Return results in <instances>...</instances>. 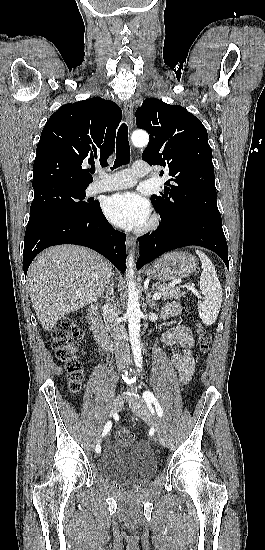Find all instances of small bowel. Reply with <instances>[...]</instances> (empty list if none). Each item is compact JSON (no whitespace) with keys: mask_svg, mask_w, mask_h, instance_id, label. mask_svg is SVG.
<instances>
[{"mask_svg":"<svg viewBox=\"0 0 265 550\" xmlns=\"http://www.w3.org/2000/svg\"><path fill=\"white\" fill-rule=\"evenodd\" d=\"M164 317H177L180 314L178 303H169L163 307ZM162 341L169 346L179 345L182 350L172 355L171 361L178 371L179 380L187 384L192 377L195 368L193 347L194 341L190 330L182 323L168 329L162 334Z\"/></svg>","mask_w":265,"mask_h":550,"instance_id":"1","label":"small bowel"}]
</instances>
